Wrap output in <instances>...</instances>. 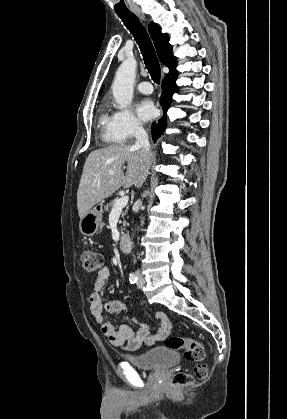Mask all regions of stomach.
I'll list each match as a JSON object with an SVG mask.
<instances>
[{
    "label": "stomach",
    "instance_id": "stomach-1",
    "mask_svg": "<svg viewBox=\"0 0 287 419\" xmlns=\"http://www.w3.org/2000/svg\"><path fill=\"white\" fill-rule=\"evenodd\" d=\"M102 213V206L98 205L80 220L79 229L83 235L93 236L98 232L102 222Z\"/></svg>",
    "mask_w": 287,
    "mask_h": 419
}]
</instances>
